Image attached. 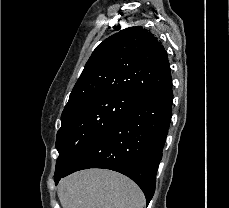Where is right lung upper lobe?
Returning a JSON list of instances; mask_svg holds the SVG:
<instances>
[{"label": "right lung upper lobe", "instance_id": "1", "mask_svg": "<svg viewBox=\"0 0 229 208\" xmlns=\"http://www.w3.org/2000/svg\"><path fill=\"white\" fill-rule=\"evenodd\" d=\"M172 82L167 52L158 38L141 26L105 39L87 61L62 115L87 100L111 94L139 102Z\"/></svg>", "mask_w": 229, "mask_h": 208}]
</instances>
